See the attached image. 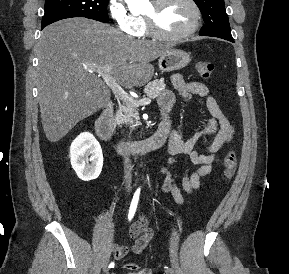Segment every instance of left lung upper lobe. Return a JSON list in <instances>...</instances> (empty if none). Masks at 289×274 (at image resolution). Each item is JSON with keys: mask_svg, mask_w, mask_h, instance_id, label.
Here are the masks:
<instances>
[{"mask_svg": "<svg viewBox=\"0 0 289 274\" xmlns=\"http://www.w3.org/2000/svg\"><path fill=\"white\" fill-rule=\"evenodd\" d=\"M198 5L205 25L200 31L201 36H213L232 39L224 0H194Z\"/></svg>", "mask_w": 289, "mask_h": 274, "instance_id": "obj_1", "label": "left lung upper lobe"}]
</instances>
